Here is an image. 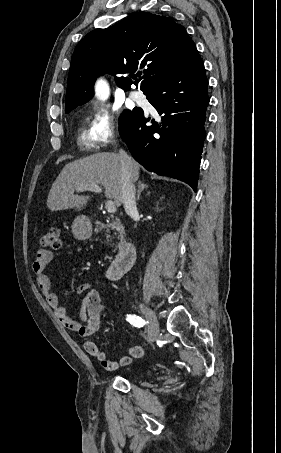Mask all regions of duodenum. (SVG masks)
<instances>
[{
	"label": "duodenum",
	"instance_id": "obj_1",
	"mask_svg": "<svg viewBox=\"0 0 281 453\" xmlns=\"http://www.w3.org/2000/svg\"><path fill=\"white\" fill-rule=\"evenodd\" d=\"M136 257V247L133 243L124 242L116 258L107 269L106 275L110 280L119 279L133 265Z\"/></svg>",
	"mask_w": 281,
	"mask_h": 453
}]
</instances>
